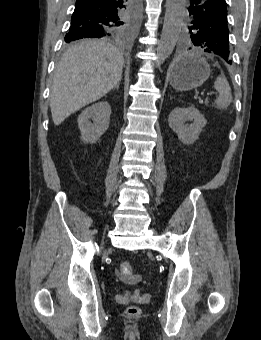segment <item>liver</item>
<instances>
[{"label": "liver", "instance_id": "liver-1", "mask_svg": "<svg viewBox=\"0 0 261 340\" xmlns=\"http://www.w3.org/2000/svg\"><path fill=\"white\" fill-rule=\"evenodd\" d=\"M122 52L110 43L85 40L69 48L60 59L53 78L50 108L60 125L72 113L97 101L122 78Z\"/></svg>", "mask_w": 261, "mask_h": 340}]
</instances>
